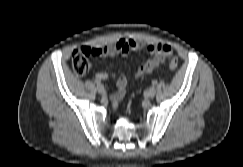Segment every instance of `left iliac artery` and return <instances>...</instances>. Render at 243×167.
<instances>
[{
  "mask_svg": "<svg viewBox=\"0 0 243 167\" xmlns=\"http://www.w3.org/2000/svg\"><path fill=\"white\" fill-rule=\"evenodd\" d=\"M152 84H153V85H156V84H157V81H156V80H153V81H152Z\"/></svg>",
  "mask_w": 243,
  "mask_h": 167,
  "instance_id": "obj_1",
  "label": "left iliac artery"
}]
</instances>
